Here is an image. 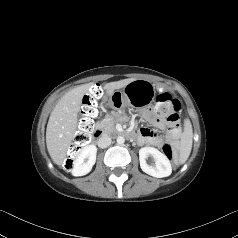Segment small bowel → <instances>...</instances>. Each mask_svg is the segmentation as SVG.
I'll return each instance as SVG.
<instances>
[{
	"instance_id": "1",
	"label": "small bowel",
	"mask_w": 238,
	"mask_h": 238,
	"mask_svg": "<svg viewBox=\"0 0 238 238\" xmlns=\"http://www.w3.org/2000/svg\"><path fill=\"white\" fill-rule=\"evenodd\" d=\"M143 117L146 120L152 122L158 129L167 128V132L165 137L163 138L148 129H140L137 132L136 136L141 144H146L158 148L162 147L165 144L177 147L184 141L180 126L177 122H170L167 124L164 121L154 119L149 112H143Z\"/></svg>"
}]
</instances>
